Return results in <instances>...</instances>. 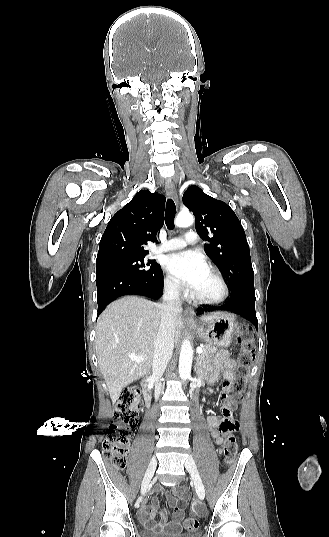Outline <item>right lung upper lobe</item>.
Segmentation results:
<instances>
[{"label":"right lung upper lobe","mask_w":329,"mask_h":537,"mask_svg":"<svg viewBox=\"0 0 329 537\" xmlns=\"http://www.w3.org/2000/svg\"><path fill=\"white\" fill-rule=\"evenodd\" d=\"M164 206V195L140 190L109 221L100 241L96 265L145 257L147 242H157V231L163 225Z\"/></svg>","instance_id":"obj_1"}]
</instances>
